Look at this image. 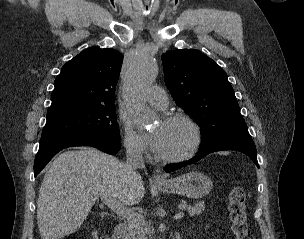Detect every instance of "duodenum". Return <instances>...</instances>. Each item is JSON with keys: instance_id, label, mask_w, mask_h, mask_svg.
<instances>
[{"instance_id": "410a0bca", "label": "duodenum", "mask_w": 304, "mask_h": 239, "mask_svg": "<svg viewBox=\"0 0 304 239\" xmlns=\"http://www.w3.org/2000/svg\"><path fill=\"white\" fill-rule=\"evenodd\" d=\"M113 239H128V226L126 223H119L116 225Z\"/></svg>"}]
</instances>
